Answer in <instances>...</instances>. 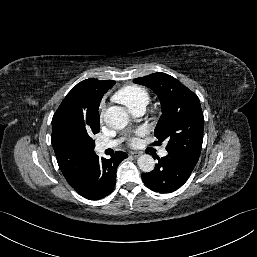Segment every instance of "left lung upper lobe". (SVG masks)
Wrapping results in <instances>:
<instances>
[{"mask_svg":"<svg viewBox=\"0 0 257 257\" xmlns=\"http://www.w3.org/2000/svg\"><path fill=\"white\" fill-rule=\"evenodd\" d=\"M133 82L152 89L160 99L162 115L154 130L158 143L166 139L168 152L198 161L203 142L204 116L197 95L174 77L162 72L136 78Z\"/></svg>","mask_w":257,"mask_h":257,"instance_id":"5c2ea615","label":"left lung upper lobe"}]
</instances>
